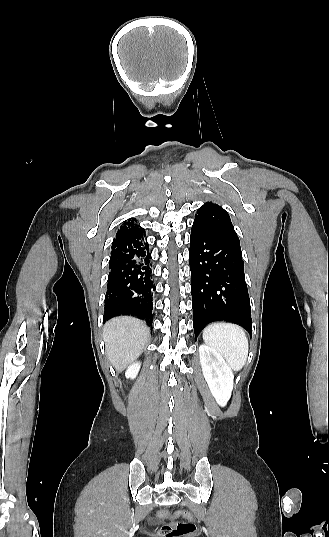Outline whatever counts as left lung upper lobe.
Listing matches in <instances>:
<instances>
[{
	"label": "left lung upper lobe",
	"instance_id": "1",
	"mask_svg": "<svg viewBox=\"0 0 329 537\" xmlns=\"http://www.w3.org/2000/svg\"><path fill=\"white\" fill-rule=\"evenodd\" d=\"M194 223L200 225L211 234L240 247V241L231 223L230 216L221 206L212 202L205 203L197 210Z\"/></svg>",
	"mask_w": 329,
	"mask_h": 537
}]
</instances>
